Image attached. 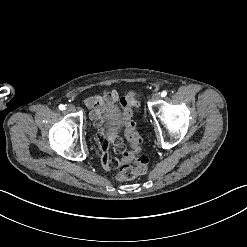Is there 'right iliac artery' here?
Segmentation results:
<instances>
[{"label": "right iliac artery", "mask_w": 247, "mask_h": 247, "mask_svg": "<svg viewBox=\"0 0 247 247\" xmlns=\"http://www.w3.org/2000/svg\"><path fill=\"white\" fill-rule=\"evenodd\" d=\"M59 109H60V110H65V109H66V108H65V105L60 104V105H59Z\"/></svg>", "instance_id": "1"}]
</instances>
